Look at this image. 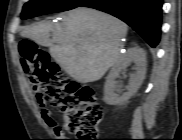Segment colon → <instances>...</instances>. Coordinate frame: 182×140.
<instances>
[{
  "label": "colon",
  "mask_w": 182,
  "mask_h": 140,
  "mask_svg": "<svg viewBox=\"0 0 182 140\" xmlns=\"http://www.w3.org/2000/svg\"><path fill=\"white\" fill-rule=\"evenodd\" d=\"M21 66L37 99L63 114L64 125L77 140H95L103 112L95 90L71 78L36 43H19Z\"/></svg>",
  "instance_id": "5ec220e1"
}]
</instances>
